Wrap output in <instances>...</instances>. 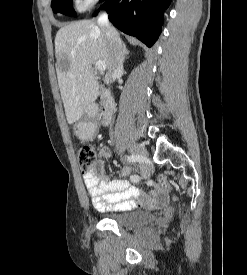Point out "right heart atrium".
Instances as JSON below:
<instances>
[{"label": "right heart atrium", "instance_id": "d8ad5b80", "mask_svg": "<svg viewBox=\"0 0 247 275\" xmlns=\"http://www.w3.org/2000/svg\"><path fill=\"white\" fill-rule=\"evenodd\" d=\"M98 1L99 0H74V6L77 11L83 12L94 6Z\"/></svg>", "mask_w": 247, "mask_h": 275}]
</instances>
